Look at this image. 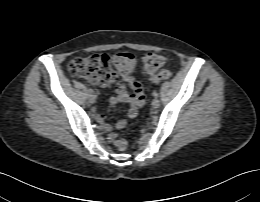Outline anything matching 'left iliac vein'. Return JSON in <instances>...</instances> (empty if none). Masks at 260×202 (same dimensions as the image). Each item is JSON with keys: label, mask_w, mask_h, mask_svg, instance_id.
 I'll return each instance as SVG.
<instances>
[{"label": "left iliac vein", "mask_w": 260, "mask_h": 202, "mask_svg": "<svg viewBox=\"0 0 260 202\" xmlns=\"http://www.w3.org/2000/svg\"><path fill=\"white\" fill-rule=\"evenodd\" d=\"M152 107L153 108H158L159 107V105H160V101L157 99V98H155V99H153V101H152Z\"/></svg>", "instance_id": "4c4485c4"}]
</instances>
